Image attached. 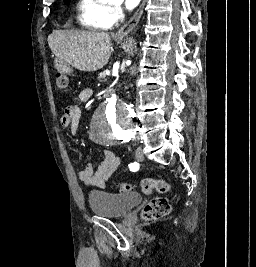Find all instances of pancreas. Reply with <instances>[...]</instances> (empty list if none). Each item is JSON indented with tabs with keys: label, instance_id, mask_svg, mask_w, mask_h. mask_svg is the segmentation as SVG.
I'll use <instances>...</instances> for the list:
<instances>
[{
	"label": "pancreas",
	"instance_id": "1",
	"mask_svg": "<svg viewBox=\"0 0 256 267\" xmlns=\"http://www.w3.org/2000/svg\"><path fill=\"white\" fill-rule=\"evenodd\" d=\"M106 74H100L99 78H105Z\"/></svg>",
	"mask_w": 256,
	"mask_h": 267
}]
</instances>
